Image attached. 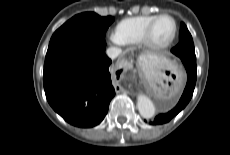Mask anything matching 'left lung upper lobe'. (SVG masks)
Here are the masks:
<instances>
[{"instance_id":"left-lung-upper-lobe-1","label":"left lung upper lobe","mask_w":230,"mask_h":155,"mask_svg":"<svg viewBox=\"0 0 230 155\" xmlns=\"http://www.w3.org/2000/svg\"><path fill=\"white\" fill-rule=\"evenodd\" d=\"M171 51L181 59L196 60L192 36L184 23L180 24L179 43Z\"/></svg>"}]
</instances>
